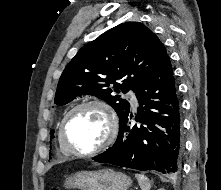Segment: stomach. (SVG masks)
I'll use <instances>...</instances> for the list:
<instances>
[{
  "mask_svg": "<svg viewBox=\"0 0 221 190\" xmlns=\"http://www.w3.org/2000/svg\"><path fill=\"white\" fill-rule=\"evenodd\" d=\"M132 184L130 177L111 169L79 171L65 180L66 188L80 190H127Z\"/></svg>",
  "mask_w": 221,
  "mask_h": 190,
  "instance_id": "stomach-1",
  "label": "stomach"
}]
</instances>
